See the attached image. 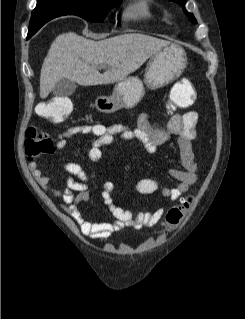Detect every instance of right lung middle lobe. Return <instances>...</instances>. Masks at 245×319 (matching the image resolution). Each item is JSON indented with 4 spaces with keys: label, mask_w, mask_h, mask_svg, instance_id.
Here are the masks:
<instances>
[{
    "label": "right lung middle lobe",
    "mask_w": 245,
    "mask_h": 319,
    "mask_svg": "<svg viewBox=\"0 0 245 319\" xmlns=\"http://www.w3.org/2000/svg\"><path fill=\"white\" fill-rule=\"evenodd\" d=\"M122 0H68L56 2L61 8L62 15H77L85 20L101 22L108 11ZM31 24H37L35 18H31Z\"/></svg>",
    "instance_id": "dd1d6c3e"
}]
</instances>
